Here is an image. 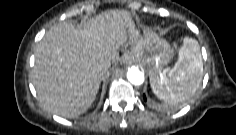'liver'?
Returning <instances> with one entry per match:
<instances>
[{"mask_svg":"<svg viewBox=\"0 0 236 135\" xmlns=\"http://www.w3.org/2000/svg\"><path fill=\"white\" fill-rule=\"evenodd\" d=\"M140 32L124 10H110L85 25L63 22L53 26L35 49L32 83L48 111L63 117L84 113L94 102L109 63L120 60L118 50L138 51Z\"/></svg>","mask_w":236,"mask_h":135,"instance_id":"obj_1","label":"liver"}]
</instances>
